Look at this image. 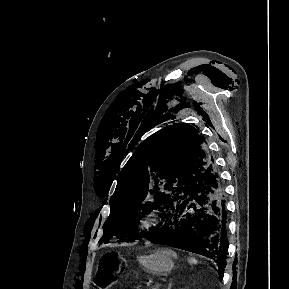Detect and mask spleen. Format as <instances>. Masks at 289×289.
Segmentation results:
<instances>
[{
	"label": "spleen",
	"mask_w": 289,
	"mask_h": 289,
	"mask_svg": "<svg viewBox=\"0 0 289 289\" xmlns=\"http://www.w3.org/2000/svg\"><path fill=\"white\" fill-rule=\"evenodd\" d=\"M189 263H190V264H197V260H196L194 257H191V258L189 259Z\"/></svg>",
	"instance_id": "3e777b00"
}]
</instances>
